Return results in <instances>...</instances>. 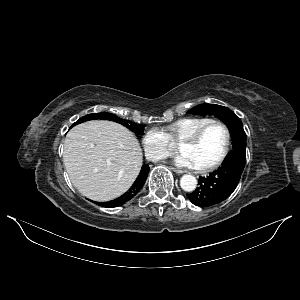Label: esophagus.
Instances as JSON below:
<instances>
[{
	"label": "esophagus",
	"instance_id": "34e87169",
	"mask_svg": "<svg viewBox=\"0 0 300 300\" xmlns=\"http://www.w3.org/2000/svg\"><path fill=\"white\" fill-rule=\"evenodd\" d=\"M170 169H171L173 172L178 173V174H182V173H183L182 170L177 169V168H174V167H170Z\"/></svg>",
	"mask_w": 300,
	"mask_h": 300
}]
</instances>
